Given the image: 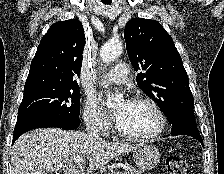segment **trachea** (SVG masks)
Returning a JSON list of instances; mask_svg holds the SVG:
<instances>
[{
  "label": "trachea",
  "mask_w": 224,
  "mask_h": 174,
  "mask_svg": "<svg viewBox=\"0 0 224 174\" xmlns=\"http://www.w3.org/2000/svg\"><path fill=\"white\" fill-rule=\"evenodd\" d=\"M103 4H110L111 2H109L108 0H102Z\"/></svg>",
  "instance_id": "3493384b"
}]
</instances>
